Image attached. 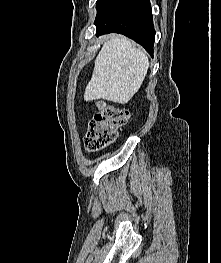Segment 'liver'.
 <instances>
[{
    "instance_id": "1",
    "label": "liver",
    "mask_w": 221,
    "mask_h": 263,
    "mask_svg": "<svg viewBox=\"0 0 221 263\" xmlns=\"http://www.w3.org/2000/svg\"><path fill=\"white\" fill-rule=\"evenodd\" d=\"M94 64L84 99H104L126 104L140 89L148 71L149 60L132 41L114 35L103 44Z\"/></svg>"
}]
</instances>
